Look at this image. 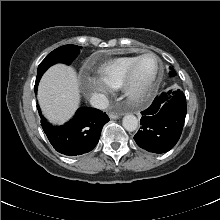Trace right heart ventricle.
<instances>
[{
	"label": "right heart ventricle",
	"instance_id": "right-heart-ventricle-1",
	"mask_svg": "<svg viewBox=\"0 0 220 220\" xmlns=\"http://www.w3.org/2000/svg\"><path fill=\"white\" fill-rule=\"evenodd\" d=\"M135 56H122L111 59L96 68V72L102 80L108 83L112 88H120L123 85L125 76L137 59Z\"/></svg>",
	"mask_w": 220,
	"mask_h": 220
}]
</instances>
